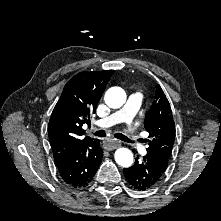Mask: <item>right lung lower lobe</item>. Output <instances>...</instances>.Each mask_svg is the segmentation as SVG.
Listing matches in <instances>:
<instances>
[{
  "label": "right lung lower lobe",
  "instance_id": "1",
  "mask_svg": "<svg viewBox=\"0 0 221 221\" xmlns=\"http://www.w3.org/2000/svg\"><path fill=\"white\" fill-rule=\"evenodd\" d=\"M103 156L99 139L80 145L56 163L63 181L75 188L86 187L92 181Z\"/></svg>",
  "mask_w": 221,
  "mask_h": 221
}]
</instances>
